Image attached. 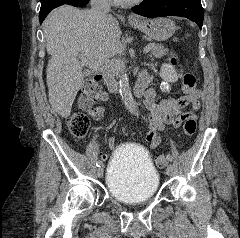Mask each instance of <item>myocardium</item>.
Segmentation results:
<instances>
[{
    "mask_svg": "<svg viewBox=\"0 0 240 238\" xmlns=\"http://www.w3.org/2000/svg\"><path fill=\"white\" fill-rule=\"evenodd\" d=\"M142 1L143 0H121L119 3L123 5H135L141 3Z\"/></svg>",
    "mask_w": 240,
    "mask_h": 238,
    "instance_id": "myocardium-1",
    "label": "myocardium"
}]
</instances>
